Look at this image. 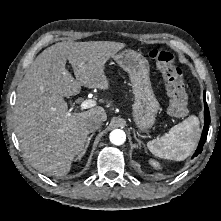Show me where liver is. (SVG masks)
Here are the masks:
<instances>
[{
    "label": "liver",
    "instance_id": "liver-1",
    "mask_svg": "<svg viewBox=\"0 0 221 221\" xmlns=\"http://www.w3.org/2000/svg\"><path fill=\"white\" fill-rule=\"evenodd\" d=\"M126 45L111 41L59 42L42 51L17 86L14 130L24 157L40 172L67 174L74 157L84 151L86 122L93 115L106 121L103 107L68 112L64 97L81 86L109 89L106 62ZM71 64L76 79L67 71Z\"/></svg>",
    "mask_w": 221,
    "mask_h": 221
}]
</instances>
